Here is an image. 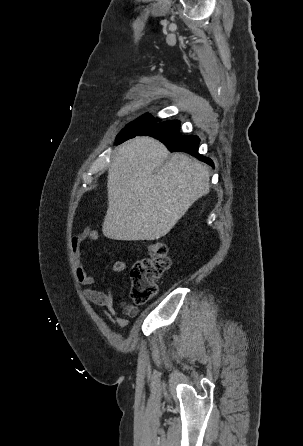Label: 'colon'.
<instances>
[{"label": "colon", "mask_w": 303, "mask_h": 446, "mask_svg": "<svg viewBox=\"0 0 303 446\" xmlns=\"http://www.w3.org/2000/svg\"><path fill=\"white\" fill-rule=\"evenodd\" d=\"M147 251L149 256L137 261L129 274L130 295L136 304H144L156 296L157 281L172 263L167 247L162 242H150Z\"/></svg>", "instance_id": "1"}]
</instances>
